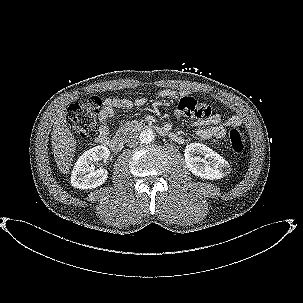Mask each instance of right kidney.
<instances>
[{
	"label": "right kidney",
	"instance_id": "1",
	"mask_svg": "<svg viewBox=\"0 0 303 303\" xmlns=\"http://www.w3.org/2000/svg\"><path fill=\"white\" fill-rule=\"evenodd\" d=\"M110 151L105 146H96L85 151L76 161L71 175V184L79 189H93L101 186L108 178L104 168L95 170L93 161L108 159Z\"/></svg>",
	"mask_w": 303,
	"mask_h": 303
}]
</instances>
